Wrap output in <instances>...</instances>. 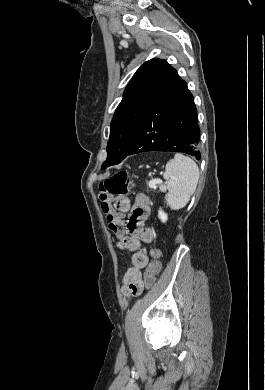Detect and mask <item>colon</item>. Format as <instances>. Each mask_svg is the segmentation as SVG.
<instances>
[{
	"mask_svg": "<svg viewBox=\"0 0 265 390\" xmlns=\"http://www.w3.org/2000/svg\"><path fill=\"white\" fill-rule=\"evenodd\" d=\"M131 187L132 183L129 174L124 170L116 172L99 184L98 196L101 201L102 211L106 214L110 231L118 237L123 235L125 225L122 215L114 209V206L111 203V198L113 196H122L127 194ZM152 255L154 257V261L143 276V284L145 288H151L154 285L156 276L161 267L158 260L159 252L157 250H153Z\"/></svg>",
	"mask_w": 265,
	"mask_h": 390,
	"instance_id": "5ec220e1",
	"label": "colon"
}]
</instances>
